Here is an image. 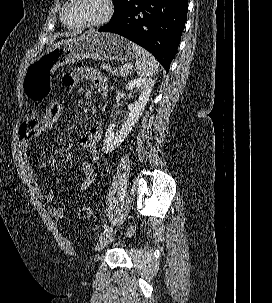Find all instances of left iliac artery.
I'll return each mask as SVG.
<instances>
[{
    "label": "left iliac artery",
    "mask_w": 272,
    "mask_h": 303,
    "mask_svg": "<svg viewBox=\"0 0 272 303\" xmlns=\"http://www.w3.org/2000/svg\"><path fill=\"white\" fill-rule=\"evenodd\" d=\"M112 229H113V226H111V227H105L104 231L101 233V236L106 235Z\"/></svg>",
    "instance_id": "44dca946"
}]
</instances>
